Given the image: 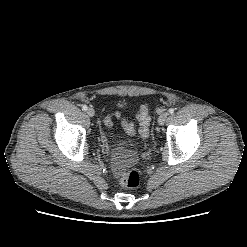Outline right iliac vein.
<instances>
[{
	"label": "right iliac vein",
	"mask_w": 247,
	"mask_h": 247,
	"mask_svg": "<svg viewBox=\"0 0 247 247\" xmlns=\"http://www.w3.org/2000/svg\"><path fill=\"white\" fill-rule=\"evenodd\" d=\"M87 115L90 117H93L95 115V111L93 108H88L87 109Z\"/></svg>",
	"instance_id": "obj_1"
}]
</instances>
